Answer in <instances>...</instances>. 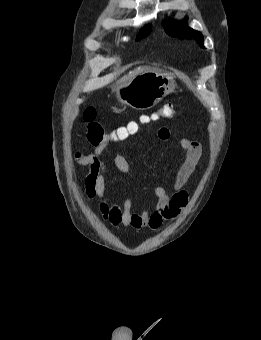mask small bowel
Listing matches in <instances>:
<instances>
[{"instance_id":"small-bowel-1","label":"small bowel","mask_w":261,"mask_h":340,"mask_svg":"<svg viewBox=\"0 0 261 340\" xmlns=\"http://www.w3.org/2000/svg\"><path fill=\"white\" fill-rule=\"evenodd\" d=\"M145 119L144 117L142 121ZM137 130L138 124L130 122L127 126L122 127L121 131L126 139L135 134ZM157 136L160 140L166 141L170 138V131L166 127H161L157 131ZM112 142V138L109 137L102 144L95 146L89 154L83 155L79 151L74 154L76 164L88 168V174L84 181L86 198L98 201L100 214L111 225L122 226L125 229L142 230L149 228L155 230L164 221L176 218L188 203V193L182 188L201 162V145L189 139H181L179 144L185 152V158L175 175L171 191H168L163 186L156 187L154 194L157 202L154 210L152 212H134L130 199H126L123 204L108 203L105 199L107 165L100 159V156ZM114 164L120 172L134 178L129 163L123 155H117L114 158Z\"/></svg>"}]
</instances>
